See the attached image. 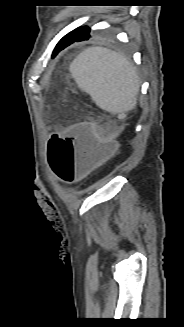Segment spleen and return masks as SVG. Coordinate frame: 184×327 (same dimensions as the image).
I'll return each mask as SVG.
<instances>
[{
	"label": "spleen",
	"instance_id": "obj_1",
	"mask_svg": "<svg viewBox=\"0 0 184 327\" xmlns=\"http://www.w3.org/2000/svg\"><path fill=\"white\" fill-rule=\"evenodd\" d=\"M77 85L103 110H132L139 89L135 67L124 55L102 47L82 51L69 68Z\"/></svg>",
	"mask_w": 184,
	"mask_h": 327
}]
</instances>
